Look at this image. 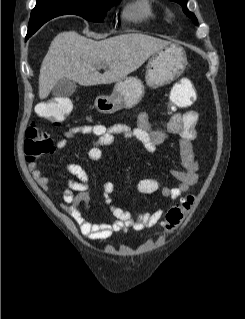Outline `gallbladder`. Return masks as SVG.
I'll use <instances>...</instances> for the list:
<instances>
[{"label": "gallbladder", "instance_id": "gallbladder-1", "mask_svg": "<svg viewBox=\"0 0 245 319\" xmlns=\"http://www.w3.org/2000/svg\"><path fill=\"white\" fill-rule=\"evenodd\" d=\"M77 89V83L68 78L59 80L52 89V93L56 97H69Z\"/></svg>", "mask_w": 245, "mask_h": 319}]
</instances>
